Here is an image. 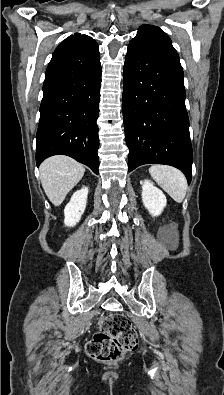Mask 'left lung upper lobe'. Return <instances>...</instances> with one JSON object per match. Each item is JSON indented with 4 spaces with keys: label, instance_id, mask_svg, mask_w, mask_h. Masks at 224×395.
I'll use <instances>...</instances> for the list:
<instances>
[{
    "label": "left lung upper lobe",
    "instance_id": "1",
    "mask_svg": "<svg viewBox=\"0 0 224 395\" xmlns=\"http://www.w3.org/2000/svg\"><path fill=\"white\" fill-rule=\"evenodd\" d=\"M130 43L179 59L176 50L172 46L170 38L157 26L142 25L136 37L130 41Z\"/></svg>",
    "mask_w": 224,
    "mask_h": 395
}]
</instances>
